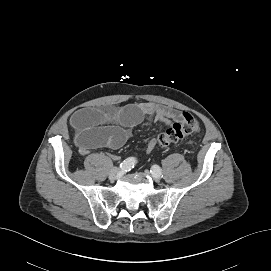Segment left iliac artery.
<instances>
[{
	"label": "left iliac artery",
	"mask_w": 271,
	"mask_h": 271,
	"mask_svg": "<svg viewBox=\"0 0 271 271\" xmlns=\"http://www.w3.org/2000/svg\"><path fill=\"white\" fill-rule=\"evenodd\" d=\"M150 172L153 174V175H159L161 176L162 174V171H161V168L158 166V165H153Z\"/></svg>",
	"instance_id": "44dca946"
}]
</instances>
